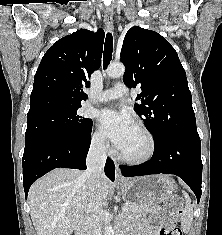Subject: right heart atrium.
Returning a JSON list of instances; mask_svg holds the SVG:
<instances>
[{
    "instance_id": "obj_1",
    "label": "right heart atrium",
    "mask_w": 222,
    "mask_h": 235,
    "mask_svg": "<svg viewBox=\"0 0 222 235\" xmlns=\"http://www.w3.org/2000/svg\"><path fill=\"white\" fill-rule=\"evenodd\" d=\"M92 147L99 152H105L108 149V142L105 135L100 130H95L91 137Z\"/></svg>"
}]
</instances>
